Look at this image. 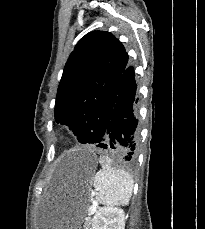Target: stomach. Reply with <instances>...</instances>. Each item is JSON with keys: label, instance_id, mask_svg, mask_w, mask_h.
Listing matches in <instances>:
<instances>
[{"label": "stomach", "instance_id": "stomach-1", "mask_svg": "<svg viewBox=\"0 0 205 229\" xmlns=\"http://www.w3.org/2000/svg\"><path fill=\"white\" fill-rule=\"evenodd\" d=\"M81 172L86 180H90L95 170L97 159L91 153L81 154ZM86 195L81 202L48 197L38 203L35 214L36 229H78L85 215L88 201Z\"/></svg>", "mask_w": 205, "mask_h": 229}]
</instances>
